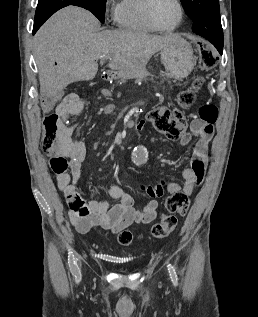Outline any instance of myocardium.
Segmentation results:
<instances>
[{
  "instance_id": "myocardium-1",
  "label": "myocardium",
  "mask_w": 258,
  "mask_h": 317,
  "mask_svg": "<svg viewBox=\"0 0 258 317\" xmlns=\"http://www.w3.org/2000/svg\"><path fill=\"white\" fill-rule=\"evenodd\" d=\"M156 0H148L146 6H145V11H144V16H145V20L147 22V24L149 26H151L154 30L156 31H159V32H171V31H174L179 25L180 23L182 22V19H183V15H184V10H183V4H182V1L181 0H175L178 4V8H179V17H178V20L177 22L169 27V28H161L159 26H157L153 19H152V16H151V9H152V6L153 4L155 3Z\"/></svg>"
}]
</instances>
